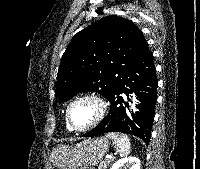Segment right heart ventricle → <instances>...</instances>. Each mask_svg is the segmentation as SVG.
Wrapping results in <instances>:
<instances>
[{
	"mask_svg": "<svg viewBox=\"0 0 200 169\" xmlns=\"http://www.w3.org/2000/svg\"><path fill=\"white\" fill-rule=\"evenodd\" d=\"M67 129H68V130H71V129L69 128L68 124H67Z\"/></svg>",
	"mask_w": 200,
	"mask_h": 169,
	"instance_id": "e07e8e85",
	"label": "right heart ventricle"
}]
</instances>
